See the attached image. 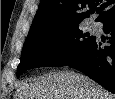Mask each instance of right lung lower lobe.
I'll return each mask as SVG.
<instances>
[{
    "mask_svg": "<svg viewBox=\"0 0 115 99\" xmlns=\"http://www.w3.org/2000/svg\"><path fill=\"white\" fill-rule=\"evenodd\" d=\"M103 30L109 34L107 46L104 39L94 36L81 54L68 66L76 68L115 94V11L100 20Z\"/></svg>",
    "mask_w": 115,
    "mask_h": 99,
    "instance_id": "right-lung-lower-lobe-1",
    "label": "right lung lower lobe"
}]
</instances>
